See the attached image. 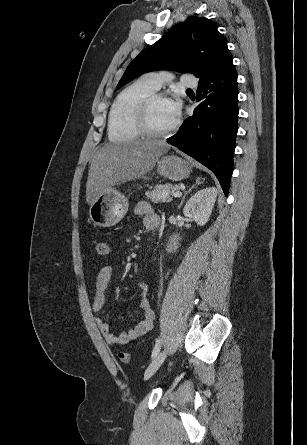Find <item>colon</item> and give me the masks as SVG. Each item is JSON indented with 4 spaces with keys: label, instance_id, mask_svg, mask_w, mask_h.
I'll use <instances>...</instances> for the list:
<instances>
[{
    "label": "colon",
    "instance_id": "5ec220e1",
    "mask_svg": "<svg viewBox=\"0 0 307 445\" xmlns=\"http://www.w3.org/2000/svg\"><path fill=\"white\" fill-rule=\"evenodd\" d=\"M94 245H95V249H96L97 253L100 256L104 257V256H108L109 255V253H110V246H109V244L107 242L95 239L94 240ZM119 358H120L121 362H123V363H129L130 359H131L130 354L127 353V352L120 353L119 354Z\"/></svg>",
    "mask_w": 307,
    "mask_h": 445
}]
</instances>
